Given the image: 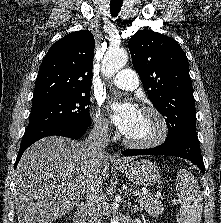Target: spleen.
Here are the masks:
<instances>
[{
  "label": "spleen",
  "instance_id": "3e777b00",
  "mask_svg": "<svg viewBox=\"0 0 221 223\" xmlns=\"http://www.w3.org/2000/svg\"><path fill=\"white\" fill-rule=\"evenodd\" d=\"M176 182L177 195L181 203L179 223H200L203 199L196 178L186 169H181Z\"/></svg>",
  "mask_w": 221,
  "mask_h": 223
}]
</instances>
